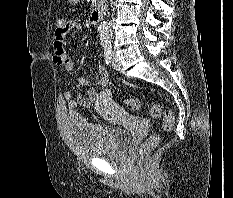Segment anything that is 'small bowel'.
<instances>
[{
    "label": "small bowel",
    "mask_w": 233,
    "mask_h": 198,
    "mask_svg": "<svg viewBox=\"0 0 233 198\" xmlns=\"http://www.w3.org/2000/svg\"><path fill=\"white\" fill-rule=\"evenodd\" d=\"M80 29L81 24L79 22L75 20L65 21L63 30L60 32L55 31L53 36V63L68 73L74 70L75 61L66 53L64 40L71 31ZM98 73L101 89H97L87 77L82 76L79 78L78 83L86 89L87 94L85 96L80 94L74 96L69 91L64 93V99L70 109L96 106L101 113L106 115L119 111V108L111 100V91L107 88L109 82L108 72L104 67L99 66Z\"/></svg>",
    "instance_id": "1"
}]
</instances>
